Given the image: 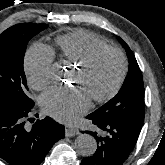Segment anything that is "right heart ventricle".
I'll return each mask as SVG.
<instances>
[{
  "instance_id": "right-heart-ventricle-1",
  "label": "right heart ventricle",
  "mask_w": 165,
  "mask_h": 165,
  "mask_svg": "<svg viewBox=\"0 0 165 165\" xmlns=\"http://www.w3.org/2000/svg\"><path fill=\"white\" fill-rule=\"evenodd\" d=\"M55 44L60 55L74 63H79L92 49L105 45L106 43L96 35L83 30L76 29L67 34L58 36Z\"/></svg>"
}]
</instances>
